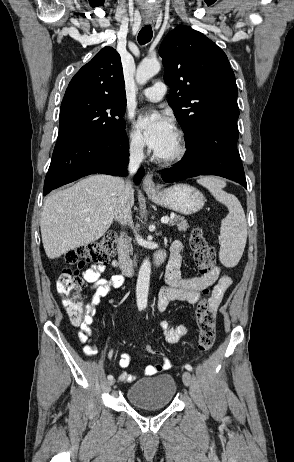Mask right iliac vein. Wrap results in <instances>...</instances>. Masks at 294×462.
Returning a JSON list of instances; mask_svg holds the SVG:
<instances>
[{"instance_id": "1", "label": "right iliac vein", "mask_w": 294, "mask_h": 462, "mask_svg": "<svg viewBox=\"0 0 294 462\" xmlns=\"http://www.w3.org/2000/svg\"><path fill=\"white\" fill-rule=\"evenodd\" d=\"M114 383H115V380H114V379H112V380L109 381V385H110V386L114 385Z\"/></svg>"}]
</instances>
